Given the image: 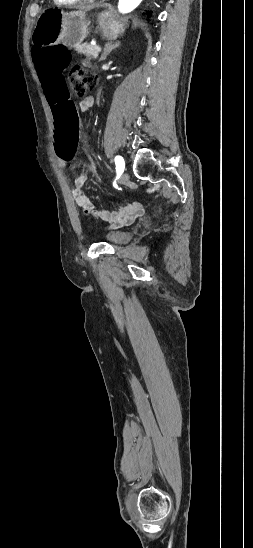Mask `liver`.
I'll return each instance as SVG.
<instances>
[{
	"label": "liver",
	"instance_id": "obj_1",
	"mask_svg": "<svg viewBox=\"0 0 253 548\" xmlns=\"http://www.w3.org/2000/svg\"><path fill=\"white\" fill-rule=\"evenodd\" d=\"M83 11H90L92 8L91 7H83L81 8Z\"/></svg>",
	"mask_w": 253,
	"mask_h": 548
}]
</instances>
